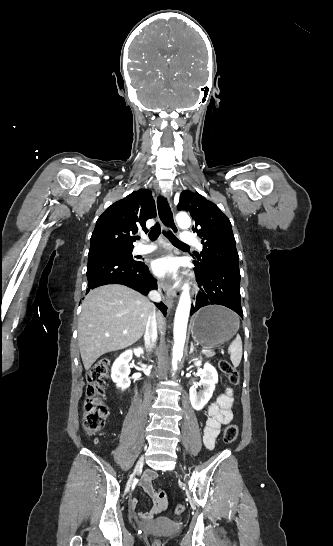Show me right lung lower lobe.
<instances>
[{
    "instance_id": "1",
    "label": "right lung lower lobe",
    "mask_w": 333,
    "mask_h": 546,
    "mask_svg": "<svg viewBox=\"0 0 333 546\" xmlns=\"http://www.w3.org/2000/svg\"><path fill=\"white\" fill-rule=\"evenodd\" d=\"M88 289L107 284H123L141 294L147 295L157 289L156 280L148 267L140 260H128L118 254L102 250L89 252L87 266ZM156 306L166 315V306L160 302Z\"/></svg>"
}]
</instances>
